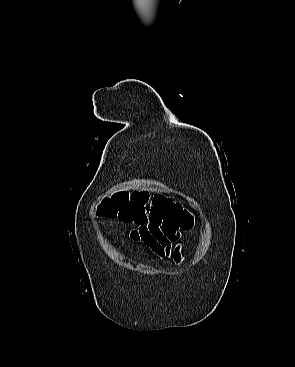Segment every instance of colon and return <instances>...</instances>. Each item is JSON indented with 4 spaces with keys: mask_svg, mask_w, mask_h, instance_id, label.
Here are the masks:
<instances>
[{
    "mask_svg": "<svg viewBox=\"0 0 295 367\" xmlns=\"http://www.w3.org/2000/svg\"><path fill=\"white\" fill-rule=\"evenodd\" d=\"M110 215H119L125 222L143 223L170 221L186 230L192 226L191 216L178 204L162 195L150 201L146 192H119L107 207Z\"/></svg>",
    "mask_w": 295,
    "mask_h": 367,
    "instance_id": "5ec220e1",
    "label": "colon"
}]
</instances>
